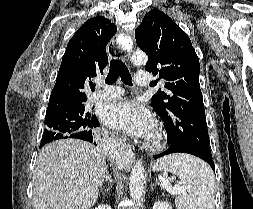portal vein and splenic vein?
<instances>
[{
  "mask_svg": "<svg viewBox=\"0 0 253 209\" xmlns=\"http://www.w3.org/2000/svg\"><path fill=\"white\" fill-rule=\"evenodd\" d=\"M159 180L162 183L163 187L171 194V195H176V194H180V193H184L185 189L178 187V188H173L168 179L164 176H159Z\"/></svg>",
  "mask_w": 253,
  "mask_h": 209,
  "instance_id": "obj_1",
  "label": "portal vein and splenic vein"
}]
</instances>
